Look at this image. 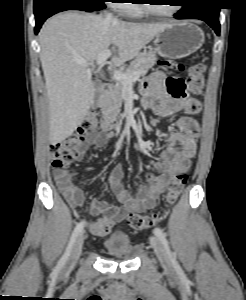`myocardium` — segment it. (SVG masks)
<instances>
[{
  "instance_id": "f54148a6",
  "label": "myocardium",
  "mask_w": 246,
  "mask_h": 300,
  "mask_svg": "<svg viewBox=\"0 0 246 300\" xmlns=\"http://www.w3.org/2000/svg\"><path fill=\"white\" fill-rule=\"evenodd\" d=\"M139 7L142 9V11L146 14L152 15V16H156V17H173L175 15H177V13L180 10V6L179 5H175V8L167 13H163V12H159L156 11L151 3H143L141 5H139Z\"/></svg>"
}]
</instances>
